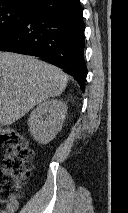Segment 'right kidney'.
Listing matches in <instances>:
<instances>
[{
  "instance_id": "ca27d5eb",
  "label": "right kidney",
  "mask_w": 128,
  "mask_h": 213,
  "mask_svg": "<svg viewBox=\"0 0 128 213\" xmlns=\"http://www.w3.org/2000/svg\"><path fill=\"white\" fill-rule=\"evenodd\" d=\"M67 104L62 100L52 99L40 103L28 119L29 132L33 138L47 144L62 129L67 114ZM44 116H47L45 119Z\"/></svg>"
}]
</instances>
